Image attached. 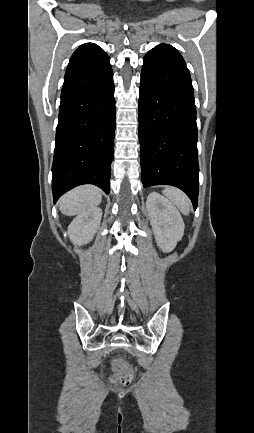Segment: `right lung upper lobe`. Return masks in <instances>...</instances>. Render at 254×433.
I'll list each match as a JSON object with an SVG mask.
<instances>
[{
    "mask_svg": "<svg viewBox=\"0 0 254 433\" xmlns=\"http://www.w3.org/2000/svg\"><path fill=\"white\" fill-rule=\"evenodd\" d=\"M108 58V55L98 45L94 43H85L71 56L67 71L96 65Z\"/></svg>",
    "mask_w": 254,
    "mask_h": 433,
    "instance_id": "cb5924a9",
    "label": "right lung upper lobe"
}]
</instances>
